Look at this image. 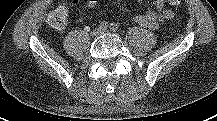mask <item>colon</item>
Here are the masks:
<instances>
[{
	"label": "colon",
	"mask_w": 217,
	"mask_h": 121,
	"mask_svg": "<svg viewBox=\"0 0 217 121\" xmlns=\"http://www.w3.org/2000/svg\"><path fill=\"white\" fill-rule=\"evenodd\" d=\"M172 6H178L182 0H166ZM68 12L64 6H57L47 14L48 24L55 29H63L67 25Z\"/></svg>",
	"instance_id": "1"
}]
</instances>
